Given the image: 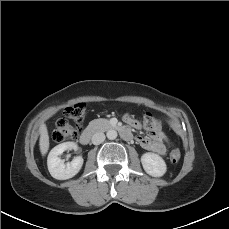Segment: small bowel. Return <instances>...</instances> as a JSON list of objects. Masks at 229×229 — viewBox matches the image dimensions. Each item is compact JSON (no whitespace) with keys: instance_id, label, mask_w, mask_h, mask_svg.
<instances>
[{"instance_id":"c3829d8e","label":"small bowel","mask_w":229,"mask_h":229,"mask_svg":"<svg viewBox=\"0 0 229 229\" xmlns=\"http://www.w3.org/2000/svg\"><path fill=\"white\" fill-rule=\"evenodd\" d=\"M148 119H151L153 121V129L150 130L147 136H137L136 141L143 149L164 156L168 151V137L162 131V122L152 117L151 114H147L144 117V121ZM124 121L131 127L139 126V123L129 114H125Z\"/></svg>"}]
</instances>
